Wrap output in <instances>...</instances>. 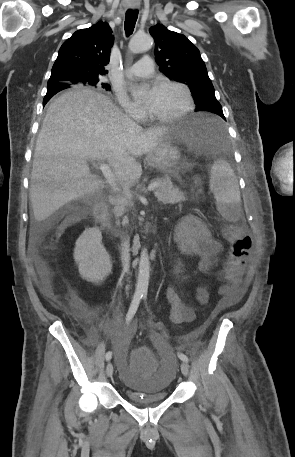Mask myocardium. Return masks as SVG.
Returning a JSON list of instances; mask_svg holds the SVG:
<instances>
[{"instance_id": "f54148a6", "label": "myocardium", "mask_w": 295, "mask_h": 457, "mask_svg": "<svg viewBox=\"0 0 295 457\" xmlns=\"http://www.w3.org/2000/svg\"><path fill=\"white\" fill-rule=\"evenodd\" d=\"M160 86H173L179 88L185 98V105L184 107L177 113L169 116H158L152 113L149 109L147 110V115L150 120L155 121V122H160V123H168V122H173L177 121L184 116H186L194 106V101L193 97L191 94L190 89L185 85L184 83L178 82V81H173V80H161L158 82V87Z\"/></svg>"}]
</instances>
